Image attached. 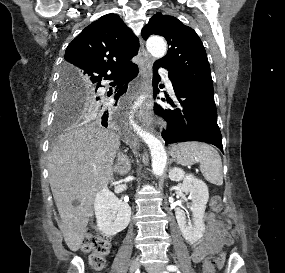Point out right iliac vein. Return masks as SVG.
I'll list each match as a JSON object with an SVG mask.
<instances>
[{
    "label": "right iliac vein",
    "mask_w": 285,
    "mask_h": 273,
    "mask_svg": "<svg viewBox=\"0 0 285 273\" xmlns=\"http://www.w3.org/2000/svg\"><path fill=\"white\" fill-rule=\"evenodd\" d=\"M139 266H140V259L139 258L133 259L129 267L130 272L136 271L139 268Z\"/></svg>",
    "instance_id": "right-iliac-vein-1"
}]
</instances>
